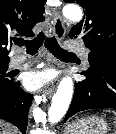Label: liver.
Masks as SVG:
<instances>
[{"instance_id":"liver-1","label":"liver","mask_w":116,"mask_h":134,"mask_svg":"<svg viewBox=\"0 0 116 134\" xmlns=\"http://www.w3.org/2000/svg\"><path fill=\"white\" fill-rule=\"evenodd\" d=\"M0 134H17L9 124L0 121Z\"/></svg>"}]
</instances>
